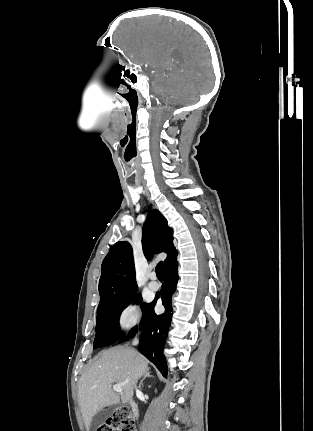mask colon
Instances as JSON below:
<instances>
[{
	"mask_svg": "<svg viewBox=\"0 0 313 431\" xmlns=\"http://www.w3.org/2000/svg\"><path fill=\"white\" fill-rule=\"evenodd\" d=\"M97 431H135V419L131 409L120 406Z\"/></svg>",
	"mask_w": 313,
	"mask_h": 431,
	"instance_id": "1",
	"label": "colon"
}]
</instances>
